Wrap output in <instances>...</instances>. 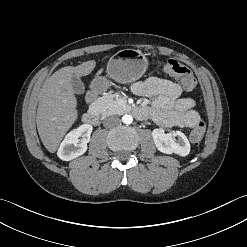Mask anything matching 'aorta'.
<instances>
[{"instance_id":"1","label":"aorta","mask_w":247,"mask_h":247,"mask_svg":"<svg viewBox=\"0 0 247 247\" xmlns=\"http://www.w3.org/2000/svg\"><path fill=\"white\" fill-rule=\"evenodd\" d=\"M122 122L124 124H131L133 122V117L131 115H129V114H125L122 117Z\"/></svg>"}]
</instances>
